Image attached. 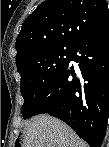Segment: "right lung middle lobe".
I'll list each match as a JSON object with an SVG mask.
<instances>
[{"label":"right lung middle lobe","instance_id":"right-lung-middle-lobe-1","mask_svg":"<svg viewBox=\"0 0 109 147\" xmlns=\"http://www.w3.org/2000/svg\"><path fill=\"white\" fill-rule=\"evenodd\" d=\"M71 48H50L39 52L29 63L18 68L21 74V93L24 119L34 116L43 96L70 61Z\"/></svg>","mask_w":109,"mask_h":147}]
</instances>
